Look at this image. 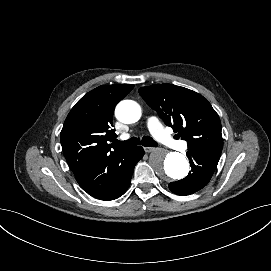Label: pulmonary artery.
I'll return each mask as SVG.
<instances>
[{
	"label": "pulmonary artery",
	"instance_id": "obj_1",
	"mask_svg": "<svg viewBox=\"0 0 271 271\" xmlns=\"http://www.w3.org/2000/svg\"><path fill=\"white\" fill-rule=\"evenodd\" d=\"M148 125L149 131L154 135L159 143L169 147L170 149H176L177 151H186L188 149V144L186 142L173 140L172 137L166 133L158 118H151ZM129 137V135H121L118 139L125 141Z\"/></svg>",
	"mask_w": 271,
	"mask_h": 271
}]
</instances>
